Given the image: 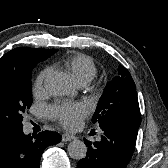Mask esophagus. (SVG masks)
I'll return each instance as SVG.
<instances>
[{"mask_svg":"<svg viewBox=\"0 0 168 168\" xmlns=\"http://www.w3.org/2000/svg\"><path fill=\"white\" fill-rule=\"evenodd\" d=\"M76 139V136L72 135V134H68V133H64L62 134V141L64 142H69Z\"/></svg>","mask_w":168,"mask_h":168,"instance_id":"34e87169","label":"esophagus"}]
</instances>
